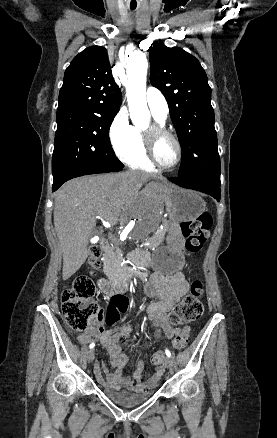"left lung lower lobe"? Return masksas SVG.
<instances>
[{"label":"left lung lower lobe","instance_id":"0a47b994","mask_svg":"<svg viewBox=\"0 0 277 438\" xmlns=\"http://www.w3.org/2000/svg\"><path fill=\"white\" fill-rule=\"evenodd\" d=\"M171 182L178 184L182 187L201 191L214 197L217 201H220V178L209 176L198 179H184V178H170Z\"/></svg>","mask_w":277,"mask_h":438}]
</instances>
